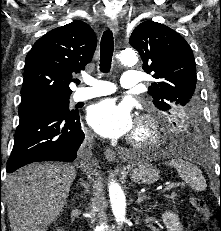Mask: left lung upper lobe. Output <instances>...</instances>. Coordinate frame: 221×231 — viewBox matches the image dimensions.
I'll return each instance as SVG.
<instances>
[{
	"label": "left lung upper lobe",
	"instance_id": "5c2ea615",
	"mask_svg": "<svg viewBox=\"0 0 221 231\" xmlns=\"http://www.w3.org/2000/svg\"><path fill=\"white\" fill-rule=\"evenodd\" d=\"M130 44L139 52L144 71L152 72L156 79L148 91L155 106L168 114L199 107L195 59L180 34L163 24L145 21L134 29Z\"/></svg>",
	"mask_w": 221,
	"mask_h": 231
}]
</instances>
